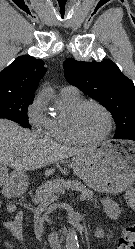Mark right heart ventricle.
Masks as SVG:
<instances>
[{"label":"right heart ventricle","mask_w":135,"mask_h":249,"mask_svg":"<svg viewBox=\"0 0 135 249\" xmlns=\"http://www.w3.org/2000/svg\"><path fill=\"white\" fill-rule=\"evenodd\" d=\"M59 102L63 106L65 112L61 116H56L50 119L49 127L46 134L59 143L66 145H75L77 143L69 133L67 119L71 110L81 102V98L80 96L70 97L60 95Z\"/></svg>","instance_id":"e07e8e85"}]
</instances>
